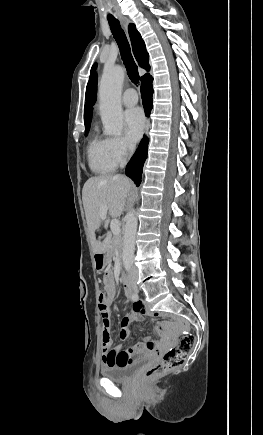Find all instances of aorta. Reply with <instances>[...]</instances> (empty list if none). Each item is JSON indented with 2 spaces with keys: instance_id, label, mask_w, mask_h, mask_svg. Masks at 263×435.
Masks as SVG:
<instances>
[{
  "instance_id": "aorta-1",
  "label": "aorta",
  "mask_w": 263,
  "mask_h": 435,
  "mask_svg": "<svg viewBox=\"0 0 263 435\" xmlns=\"http://www.w3.org/2000/svg\"><path fill=\"white\" fill-rule=\"evenodd\" d=\"M124 76V69L116 66L106 69L100 80L99 108L104 133L107 135H120L122 132L123 112L121 93ZM137 224L136 212L132 209L126 215L123 235L122 260L127 271L133 266Z\"/></svg>"
}]
</instances>
